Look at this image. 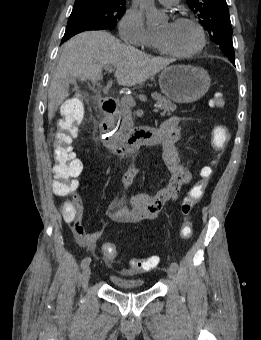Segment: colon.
<instances>
[{
    "mask_svg": "<svg viewBox=\"0 0 261 340\" xmlns=\"http://www.w3.org/2000/svg\"><path fill=\"white\" fill-rule=\"evenodd\" d=\"M215 108H224L226 100L221 93H216L211 101ZM85 118L84 103L77 98L67 100L63 105L62 117L56 124V129L51 135L52 154L54 159L53 166V192L58 196H67L72 193L77 185V178L82 172V163L78 160L73 152L71 143L79 132V126ZM229 140V130L224 125L214 127L211 136V143L215 150H222ZM201 179L190 189L188 196L181 206L183 219L180 225L179 234L182 239L188 240L193 234V224L190 219V213L194 204L203 196L212 177L213 170L211 167H205L201 171ZM62 214L72 216L76 212L74 202L67 201L63 203ZM102 252L106 259L113 260L117 257V247L112 243H104ZM159 264L157 256L146 258H132L129 262V268L124 271L129 273L133 271H147L155 268Z\"/></svg>",
    "mask_w": 261,
    "mask_h": 340,
    "instance_id": "1",
    "label": "colon"
}]
</instances>
